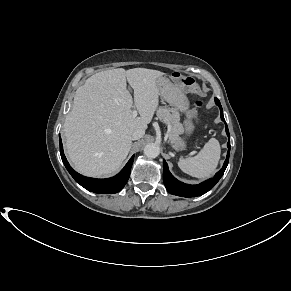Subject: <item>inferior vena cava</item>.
Segmentation results:
<instances>
[{"label": "inferior vena cava", "mask_w": 291, "mask_h": 291, "mask_svg": "<svg viewBox=\"0 0 291 291\" xmlns=\"http://www.w3.org/2000/svg\"><path fill=\"white\" fill-rule=\"evenodd\" d=\"M145 134V131L143 129H136L133 131L132 135H131V139L132 140H138L140 138H142Z\"/></svg>", "instance_id": "inferior-vena-cava-1"}]
</instances>
